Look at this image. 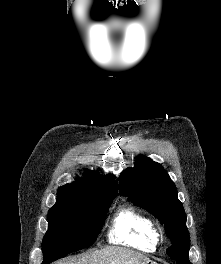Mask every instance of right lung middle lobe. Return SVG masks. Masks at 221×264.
<instances>
[{
	"label": "right lung middle lobe",
	"instance_id": "obj_1",
	"mask_svg": "<svg viewBox=\"0 0 221 264\" xmlns=\"http://www.w3.org/2000/svg\"><path fill=\"white\" fill-rule=\"evenodd\" d=\"M114 196L94 198L77 206L54 205L48 211V231L43 239L44 260L50 264L92 245L105 222Z\"/></svg>",
	"mask_w": 221,
	"mask_h": 264
}]
</instances>
